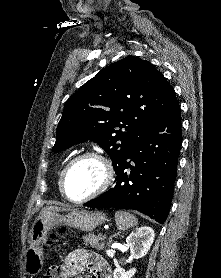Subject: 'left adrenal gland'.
Returning a JSON list of instances; mask_svg holds the SVG:
<instances>
[{
  "instance_id": "1",
  "label": "left adrenal gland",
  "mask_w": 221,
  "mask_h": 278,
  "mask_svg": "<svg viewBox=\"0 0 221 278\" xmlns=\"http://www.w3.org/2000/svg\"><path fill=\"white\" fill-rule=\"evenodd\" d=\"M117 234H119V233H117ZM117 234H114L113 236H116ZM113 236L110 237L109 244L111 243V239H112Z\"/></svg>"
}]
</instances>
